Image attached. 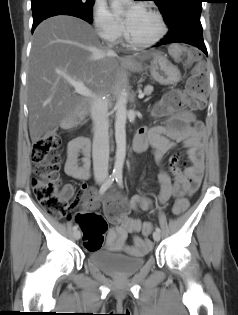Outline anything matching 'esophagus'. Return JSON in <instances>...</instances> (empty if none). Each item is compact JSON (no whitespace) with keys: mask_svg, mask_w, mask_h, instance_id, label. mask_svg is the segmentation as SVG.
I'll use <instances>...</instances> for the list:
<instances>
[{"mask_svg":"<svg viewBox=\"0 0 238 315\" xmlns=\"http://www.w3.org/2000/svg\"><path fill=\"white\" fill-rule=\"evenodd\" d=\"M123 60H125V61H130V58H128V57H123Z\"/></svg>","mask_w":238,"mask_h":315,"instance_id":"esophagus-1","label":"esophagus"}]
</instances>
